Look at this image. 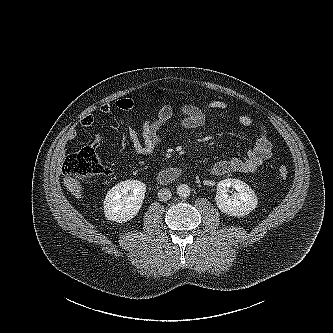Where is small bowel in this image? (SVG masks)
<instances>
[{
	"mask_svg": "<svg viewBox=\"0 0 333 333\" xmlns=\"http://www.w3.org/2000/svg\"><path fill=\"white\" fill-rule=\"evenodd\" d=\"M135 107V102L130 98H121L115 103H106L100 107V112L109 114L113 110L131 111ZM209 112L214 114H223L228 109L226 102L214 100L207 106ZM182 118L179 122L180 128L184 130H193L202 127L206 121L205 112L198 106L192 104H182L179 108ZM174 115V108L170 104H164L159 109L154 119H144L141 130L137 131L132 126L126 127V134L129 138L134 152L141 156L151 154L162 141V130L169 124ZM233 119L243 127H250L253 124L252 118L247 114H236ZM95 118L89 114L80 120L83 127L93 125ZM78 132L76 129H70L65 137V142H71L76 139ZM100 144V138L96 137L93 146L97 148ZM272 144L268 138L265 127H260L257 139L252 148H250L245 157H229L214 163L210 172L213 175H226L230 173H253L266 160L272 156Z\"/></svg>",
	"mask_w": 333,
	"mask_h": 333,
	"instance_id": "c3829d8e",
	"label": "small bowel"
}]
</instances>
